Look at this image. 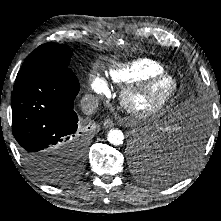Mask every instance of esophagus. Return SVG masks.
<instances>
[{
    "label": "esophagus",
    "mask_w": 221,
    "mask_h": 221,
    "mask_svg": "<svg viewBox=\"0 0 221 221\" xmlns=\"http://www.w3.org/2000/svg\"><path fill=\"white\" fill-rule=\"evenodd\" d=\"M103 126H104L105 128H111V127L114 126V122H113L112 119L107 118V119L104 120Z\"/></svg>",
    "instance_id": "1"
}]
</instances>
